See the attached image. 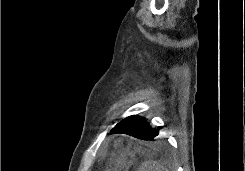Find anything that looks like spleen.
<instances>
[{
  "label": "spleen",
  "mask_w": 245,
  "mask_h": 171,
  "mask_svg": "<svg viewBox=\"0 0 245 171\" xmlns=\"http://www.w3.org/2000/svg\"><path fill=\"white\" fill-rule=\"evenodd\" d=\"M138 171H168L161 162L147 160L141 164Z\"/></svg>",
  "instance_id": "1"
}]
</instances>
